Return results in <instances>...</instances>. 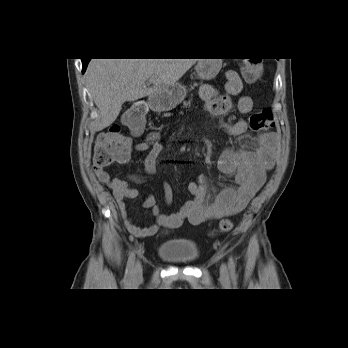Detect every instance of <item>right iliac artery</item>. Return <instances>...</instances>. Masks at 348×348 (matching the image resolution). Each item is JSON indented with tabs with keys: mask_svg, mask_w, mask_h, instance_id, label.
Returning a JSON list of instances; mask_svg holds the SVG:
<instances>
[{
	"mask_svg": "<svg viewBox=\"0 0 348 348\" xmlns=\"http://www.w3.org/2000/svg\"><path fill=\"white\" fill-rule=\"evenodd\" d=\"M134 262H135V253L132 252L128 258L126 272H125V281L127 283H130L131 281L133 268H134Z\"/></svg>",
	"mask_w": 348,
	"mask_h": 348,
	"instance_id": "82829eb1",
	"label": "right iliac artery"
}]
</instances>
